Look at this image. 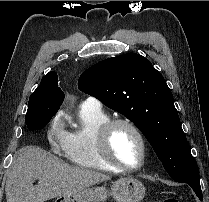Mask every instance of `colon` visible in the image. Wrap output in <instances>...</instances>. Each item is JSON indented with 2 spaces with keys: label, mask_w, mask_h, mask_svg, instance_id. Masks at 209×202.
<instances>
[{
  "label": "colon",
  "mask_w": 209,
  "mask_h": 202,
  "mask_svg": "<svg viewBox=\"0 0 209 202\" xmlns=\"http://www.w3.org/2000/svg\"><path fill=\"white\" fill-rule=\"evenodd\" d=\"M157 202H179V200L174 197H166V198H163Z\"/></svg>",
  "instance_id": "1"
}]
</instances>
